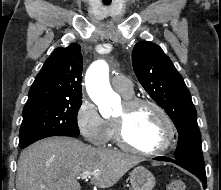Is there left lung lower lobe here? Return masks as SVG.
<instances>
[{
  "label": "left lung lower lobe",
  "instance_id": "obj_1",
  "mask_svg": "<svg viewBox=\"0 0 221 190\" xmlns=\"http://www.w3.org/2000/svg\"><path fill=\"white\" fill-rule=\"evenodd\" d=\"M155 160H159V161H167V162H173L179 166H181L182 168L190 171L191 173H193L196 177H198L200 179V181L202 182L203 184V187L205 188L206 186V174L205 172H201V171H198V170H195L193 168H190L182 163H180L178 160H173L171 158H168V157H163V156H160V157H156L154 158Z\"/></svg>",
  "mask_w": 221,
  "mask_h": 190
}]
</instances>
